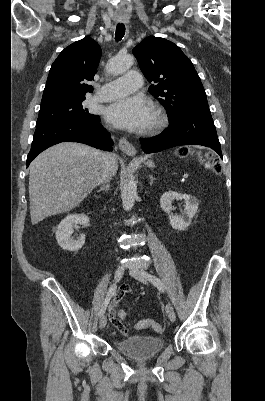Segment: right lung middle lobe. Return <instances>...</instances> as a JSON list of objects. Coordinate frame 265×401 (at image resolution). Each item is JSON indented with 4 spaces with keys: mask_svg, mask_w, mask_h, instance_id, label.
Masks as SVG:
<instances>
[{
    "mask_svg": "<svg viewBox=\"0 0 265 401\" xmlns=\"http://www.w3.org/2000/svg\"><path fill=\"white\" fill-rule=\"evenodd\" d=\"M85 97L55 100L41 104L36 125L49 121H88L100 122L97 115L90 114L82 102Z\"/></svg>",
    "mask_w": 265,
    "mask_h": 401,
    "instance_id": "right-lung-middle-lobe-1",
    "label": "right lung middle lobe"
}]
</instances>
